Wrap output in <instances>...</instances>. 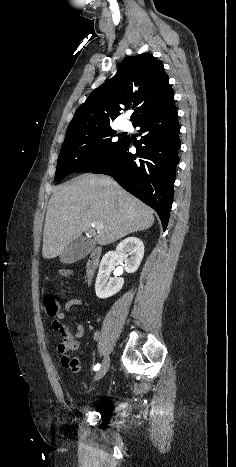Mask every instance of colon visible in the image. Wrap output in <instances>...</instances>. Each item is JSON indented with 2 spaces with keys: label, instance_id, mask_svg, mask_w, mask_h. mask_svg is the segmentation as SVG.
Wrapping results in <instances>:
<instances>
[{
  "label": "colon",
  "instance_id": "colon-1",
  "mask_svg": "<svg viewBox=\"0 0 236 467\" xmlns=\"http://www.w3.org/2000/svg\"><path fill=\"white\" fill-rule=\"evenodd\" d=\"M60 273L63 276H69L72 274L71 270L62 269ZM43 302L46 308V312L49 316H54L61 311V301L59 298L54 294H46L43 298Z\"/></svg>",
  "mask_w": 236,
  "mask_h": 467
}]
</instances>
